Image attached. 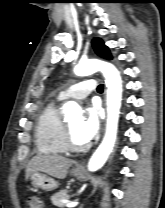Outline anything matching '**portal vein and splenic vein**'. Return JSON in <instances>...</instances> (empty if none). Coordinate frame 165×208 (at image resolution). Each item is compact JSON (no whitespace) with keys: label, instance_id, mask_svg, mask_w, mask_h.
Masks as SVG:
<instances>
[{"label":"portal vein and splenic vein","instance_id":"obj_1","mask_svg":"<svg viewBox=\"0 0 165 208\" xmlns=\"http://www.w3.org/2000/svg\"><path fill=\"white\" fill-rule=\"evenodd\" d=\"M63 202L65 203V206L68 207V208L76 207L78 205V201L63 200Z\"/></svg>","mask_w":165,"mask_h":208}]
</instances>
